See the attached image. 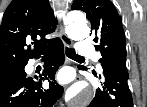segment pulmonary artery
Wrapping results in <instances>:
<instances>
[{"label":"pulmonary artery","instance_id":"pulmonary-artery-1","mask_svg":"<svg viewBox=\"0 0 147 107\" xmlns=\"http://www.w3.org/2000/svg\"><path fill=\"white\" fill-rule=\"evenodd\" d=\"M76 53L82 56H93L95 55V49L94 47L84 41H80L76 44Z\"/></svg>","mask_w":147,"mask_h":107}]
</instances>
